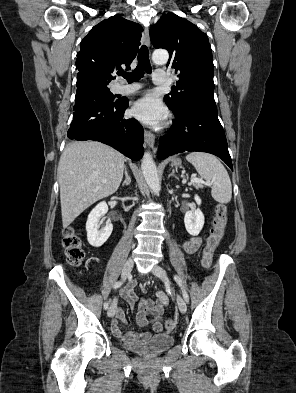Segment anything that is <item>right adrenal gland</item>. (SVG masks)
I'll list each match as a JSON object with an SVG mask.
<instances>
[{"label": "right adrenal gland", "mask_w": 296, "mask_h": 393, "mask_svg": "<svg viewBox=\"0 0 296 393\" xmlns=\"http://www.w3.org/2000/svg\"><path fill=\"white\" fill-rule=\"evenodd\" d=\"M124 168H125V180L123 181L122 186H128L131 183V177L128 173L127 167L125 166Z\"/></svg>", "instance_id": "obj_1"}]
</instances>
